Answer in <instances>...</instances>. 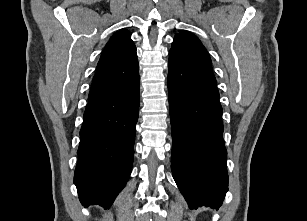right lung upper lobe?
Instances as JSON below:
<instances>
[{
  "label": "right lung upper lobe",
  "instance_id": "obj_1",
  "mask_svg": "<svg viewBox=\"0 0 307 221\" xmlns=\"http://www.w3.org/2000/svg\"><path fill=\"white\" fill-rule=\"evenodd\" d=\"M131 32L120 30L106 44L92 81L88 100L132 85L139 78V64Z\"/></svg>",
  "mask_w": 307,
  "mask_h": 221
}]
</instances>
